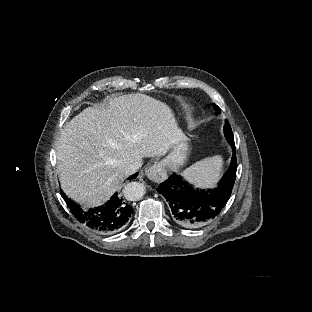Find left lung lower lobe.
Returning a JSON list of instances; mask_svg holds the SVG:
<instances>
[{"label":"left lung lower lobe","mask_w":312,"mask_h":312,"mask_svg":"<svg viewBox=\"0 0 312 312\" xmlns=\"http://www.w3.org/2000/svg\"><path fill=\"white\" fill-rule=\"evenodd\" d=\"M230 144L233 149L231 166L223 175L217 188L195 189L176 174L169 176L160 184L157 191L167 200L173 222L188 229H200L218 216L230 198L236 179L235 144Z\"/></svg>","instance_id":"obj_1"}]
</instances>
